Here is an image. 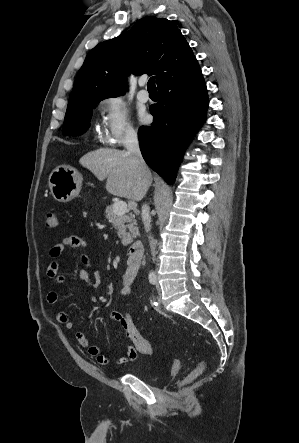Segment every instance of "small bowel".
Masks as SVG:
<instances>
[{
  "label": "small bowel",
  "mask_w": 299,
  "mask_h": 443,
  "mask_svg": "<svg viewBox=\"0 0 299 443\" xmlns=\"http://www.w3.org/2000/svg\"><path fill=\"white\" fill-rule=\"evenodd\" d=\"M88 242L86 238L82 235H70L68 237L63 238L60 242L55 244L49 250V256L52 259V262L47 267V276L51 278L56 286H60L65 283V276L59 273V263L57 259L61 256L62 252L65 248H86ZM80 260L82 264L85 266L84 269H78L75 271L74 275L77 279L86 282L87 284L98 287L101 282V276L98 270H96L86 254H81ZM140 265H132L128 262L126 270L122 277V288L121 293L126 295L130 292L131 286L136 279L139 272ZM46 301L48 304L54 306L58 302V294L55 290H50L46 295ZM121 314L122 311L119 309H114L110 313V319L113 322L118 323L122 327L121 323ZM55 319L63 324L67 329L73 330L75 328V322L71 319L67 312L62 310H56L54 312ZM123 329V328H122ZM124 331V330H123ZM125 333V331H124ZM126 336V334H125ZM75 339L77 343L85 348L90 356L96 359V361L100 364L106 365L110 363V359L106 356L101 348L95 344H91L86 335L77 331L75 333ZM138 351L133 346L130 345L127 347L124 355L116 358L115 363L118 365L134 361L137 358Z\"/></svg>",
  "instance_id": "c3829d8e"
}]
</instances>
